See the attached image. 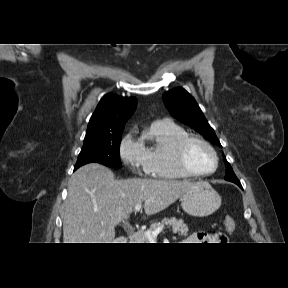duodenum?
<instances>
[{
  "label": "duodenum",
  "mask_w": 288,
  "mask_h": 288,
  "mask_svg": "<svg viewBox=\"0 0 288 288\" xmlns=\"http://www.w3.org/2000/svg\"><path fill=\"white\" fill-rule=\"evenodd\" d=\"M121 241H122V243H130V238L129 237H122Z\"/></svg>",
  "instance_id": "1"
}]
</instances>
